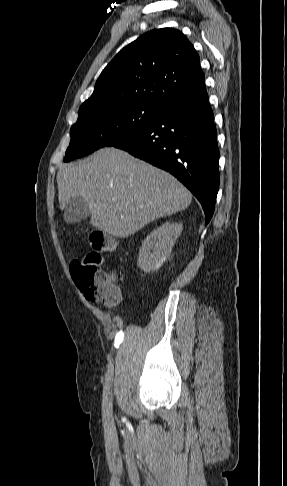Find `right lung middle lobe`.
Masks as SVG:
<instances>
[{"mask_svg":"<svg viewBox=\"0 0 287 486\" xmlns=\"http://www.w3.org/2000/svg\"><path fill=\"white\" fill-rule=\"evenodd\" d=\"M164 108L151 101H118L80 110L70 130L64 161L134 138L162 115Z\"/></svg>","mask_w":287,"mask_h":486,"instance_id":"right-lung-middle-lobe-1","label":"right lung middle lobe"}]
</instances>
